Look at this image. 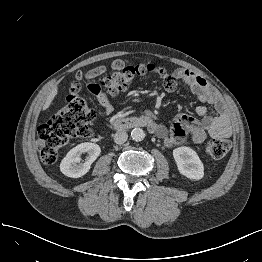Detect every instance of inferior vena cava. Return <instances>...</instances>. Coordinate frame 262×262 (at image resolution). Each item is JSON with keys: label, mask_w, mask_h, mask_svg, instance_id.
Here are the masks:
<instances>
[{"label": "inferior vena cava", "mask_w": 262, "mask_h": 262, "mask_svg": "<svg viewBox=\"0 0 262 262\" xmlns=\"http://www.w3.org/2000/svg\"><path fill=\"white\" fill-rule=\"evenodd\" d=\"M128 138V134L124 131H119L116 132V134L114 135V142L116 144H123L127 141Z\"/></svg>", "instance_id": "inferior-vena-cava-1"}]
</instances>
